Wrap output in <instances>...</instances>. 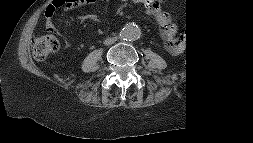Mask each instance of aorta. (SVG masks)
I'll list each match as a JSON object with an SVG mask.
<instances>
[{"instance_id": "762f6f07", "label": "aorta", "mask_w": 253, "mask_h": 143, "mask_svg": "<svg viewBox=\"0 0 253 143\" xmlns=\"http://www.w3.org/2000/svg\"><path fill=\"white\" fill-rule=\"evenodd\" d=\"M141 36V31L134 24H127L119 33V38L123 41L134 42Z\"/></svg>"}]
</instances>
